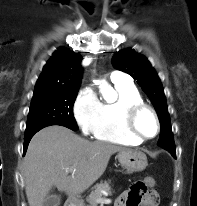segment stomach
<instances>
[{
	"instance_id": "stomach-1",
	"label": "stomach",
	"mask_w": 197,
	"mask_h": 206,
	"mask_svg": "<svg viewBox=\"0 0 197 206\" xmlns=\"http://www.w3.org/2000/svg\"><path fill=\"white\" fill-rule=\"evenodd\" d=\"M118 160L127 173L143 171L148 165L147 157L144 153L137 150L120 151L117 155ZM71 206H84L82 202L73 203Z\"/></svg>"
}]
</instances>
